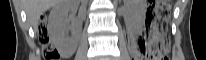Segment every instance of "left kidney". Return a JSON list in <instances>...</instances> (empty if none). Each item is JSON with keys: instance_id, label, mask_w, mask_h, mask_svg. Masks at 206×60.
<instances>
[{"instance_id": "5707ae66", "label": "left kidney", "mask_w": 206, "mask_h": 60, "mask_svg": "<svg viewBox=\"0 0 206 60\" xmlns=\"http://www.w3.org/2000/svg\"><path fill=\"white\" fill-rule=\"evenodd\" d=\"M145 10V4L141 0L133 2L127 10L126 20L128 26L133 33H140L141 29L139 23L142 21Z\"/></svg>"}]
</instances>
